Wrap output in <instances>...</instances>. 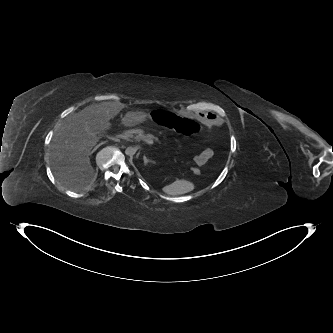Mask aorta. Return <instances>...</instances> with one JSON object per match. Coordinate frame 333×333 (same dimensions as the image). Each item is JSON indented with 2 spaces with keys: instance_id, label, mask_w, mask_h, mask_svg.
Segmentation results:
<instances>
[{
  "instance_id": "obj_1",
  "label": "aorta",
  "mask_w": 333,
  "mask_h": 333,
  "mask_svg": "<svg viewBox=\"0 0 333 333\" xmlns=\"http://www.w3.org/2000/svg\"><path fill=\"white\" fill-rule=\"evenodd\" d=\"M136 148L135 147H132V146H129V147H127L126 148V150H125V154L127 155V156H133V155H135L136 154Z\"/></svg>"
}]
</instances>
